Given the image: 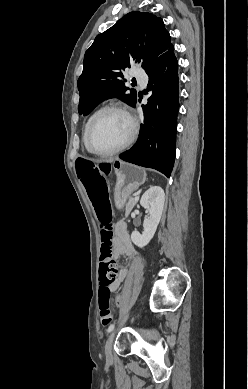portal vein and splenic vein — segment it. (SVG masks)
Masks as SVG:
<instances>
[{
	"label": "portal vein and splenic vein",
	"instance_id": "1",
	"mask_svg": "<svg viewBox=\"0 0 248 389\" xmlns=\"http://www.w3.org/2000/svg\"><path fill=\"white\" fill-rule=\"evenodd\" d=\"M135 200H138V196H135Z\"/></svg>",
	"mask_w": 248,
	"mask_h": 389
}]
</instances>
